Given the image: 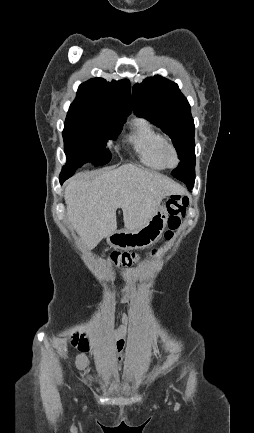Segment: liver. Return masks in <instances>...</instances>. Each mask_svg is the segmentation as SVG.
<instances>
[{
    "label": "liver",
    "mask_w": 254,
    "mask_h": 433,
    "mask_svg": "<svg viewBox=\"0 0 254 433\" xmlns=\"http://www.w3.org/2000/svg\"><path fill=\"white\" fill-rule=\"evenodd\" d=\"M180 185L157 172L124 164L89 180L71 179L64 191L67 217L87 248L92 249L116 232V210L121 208L125 228L144 226L163 198L181 193Z\"/></svg>",
    "instance_id": "1"
}]
</instances>
